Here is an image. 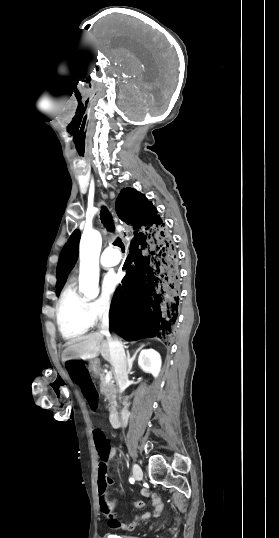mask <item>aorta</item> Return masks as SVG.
Here are the masks:
<instances>
[{
  "label": "aorta",
  "instance_id": "obj_1",
  "mask_svg": "<svg viewBox=\"0 0 279 538\" xmlns=\"http://www.w3.org/2000/svg\"><path fill=\"white\" fill-rule=\"evenodd\" d=\"M102 238L96 230L83 232L79 245L80 273L79 291L87 298H95L99 294V256Z\"/></svg>",
  "mask_w": 279,
  "mask_h": 538
}]
</instances>
